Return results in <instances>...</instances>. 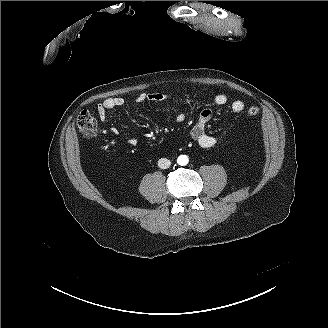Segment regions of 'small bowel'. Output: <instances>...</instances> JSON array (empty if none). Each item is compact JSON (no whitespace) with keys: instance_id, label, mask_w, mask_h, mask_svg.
I'll return each mask as SVG.
<instances>
[{"instance_id":"obj_1","label":"small bowel","mask_w":328,"mask_h":328,"mask_svg":"<svg viewBox=\"0 0 328 328\" xmlns=\"http://www.w3.org/2000/svg\"><path fill=\"white\" fill-rule=\"evenodd\" d=\"M169 98V94L166 92H146L139 94L135 102L138 104L146 103V102H162ZM214 102L216 105L223 106L228 103V97L219 93L215 95ZM125 103L124 99L121 97L116 98H108L102 101L97 106L98 116L102 121L106 120L107 113L110 110L123 106ZM230 108L235 113H240L244 110L245 105L241 100H235L231 103ZM213 115V111L209 108L203 109L200 114L196 124L192 127L189 132L190 138L195 141L201 148L208 149L215 145L216 139L207 132L206 126L208 122L211 120ZM185 119V115L183 113H179L176 116V120L181 122ZM111 132L113 134H118V129L116 127L111 128ZM128 144L130 146H135L137 144L136 138H131L128 140Z\"/></svg>"}]
</instances>
